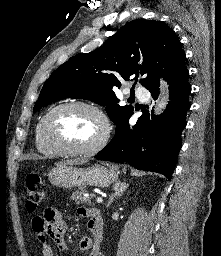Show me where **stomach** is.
<instances>
[{"mask_svg": "<svg viewBox=\"0 0 221 256\" xmlns=\"http://www.w3.org/2000/svg\"><path fill=\"white\" fill-rule=\"evenodd\" d=\"M49 181L60 187H108L118 179L115 167L94 165L89 168H79L70 164L54 167L48 173Z\"/></svg>", "mask_w": 221, "mask_h": 256, "instance_id": "1", "label": "stomach"}]
</instances>
